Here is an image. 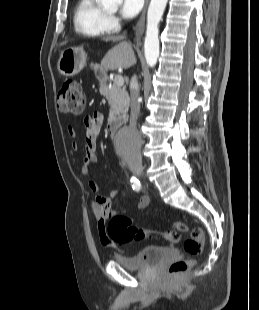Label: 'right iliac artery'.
<instances>
[{
	"label": "right iliac artery",
	"mask_w": 259,
	"mask_h": 310,
	"mask_svg": "<svg viewBox=\"0 0 259 310\" xmlns=\"http://www.w3.org/2000/svg\"><path fill=\"white\" fill-rule=\"evenodd\" d=\"M130 182H131L133 190H135V191L141 190V183L136 177H132Z\"/></svg>",
	"instance_id": "right-iliac-artery-1"
}]
</instances>
